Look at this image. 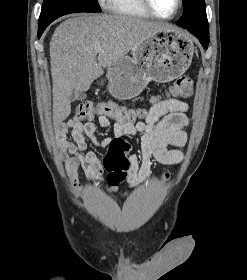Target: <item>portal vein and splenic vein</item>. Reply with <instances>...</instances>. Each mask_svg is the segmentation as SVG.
<instances>
[{
    "label": "portal vein and splenic vein",
    "instance_id": "1",
    "mask_svg": "<svg viewBox=\"0 0 247 280\" xmlns=\"http://www.w3.org/2000/svg\"><path fill=\"white\" fill-rule=\"evenodd\" d=\"M95 51H99L101 49V46L100 45H97L94 47Z\"/></svg>",
    "mask_w": 247,
    "mask_h": 280
}]
</instances>
